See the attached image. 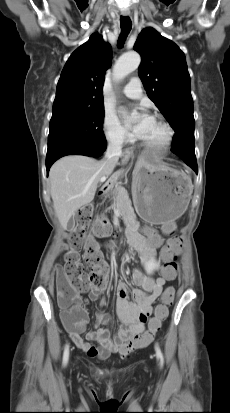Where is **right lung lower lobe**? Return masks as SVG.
I'll return each mask as SVG.
<instances>
[{
    "instance_id": "right-lung-lower-lobe-1",
    "label": "right lung lower lobe",
    "mask_w": 230,
    "mask_h": 413,
    "mask_svg": "<svg viewBox=\"0 0 230 413\" xmlns=\"http://www.w3.org/2000/svg\"><path fill=\"white\" fill-rule=\"evenodd\" d=\"M106 149V143L104 145H70L57 149L46 156V169L47 173L51 165L59 158L66 155H85L91 157H99Z\"/></svg>"
}]
</instances>
